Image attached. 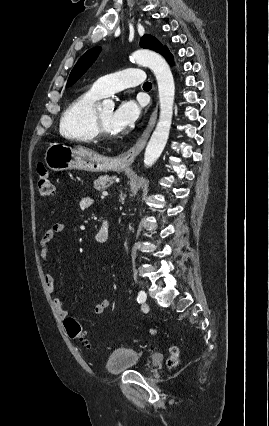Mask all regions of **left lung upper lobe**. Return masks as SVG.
Returning a JSON list of instances; mask_svg holds the SVG:
<instances>
[{"instance_id": "obj_1", "label": "left lung upper lobe", "mask_w": 269, "mask_h": 426, "mask_svg": "<svg viewBox=\"0 0 269 426\" xmlns=\"http://www.w3.org/2000/svg\"><path fill=\"white\" fill-rule=\"evenodd\" d=\"M141 47L154 50L158 53L162 51L165 46H162L161 43L150 35H144L140 42ZM100 48H92L88 50L83 56L78 60L75 67L70 73L67 87L73 85L93 64L100 53Z\"/></svg>"}]
</instances>
